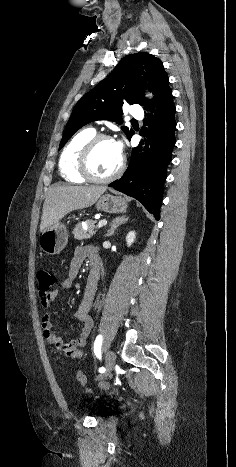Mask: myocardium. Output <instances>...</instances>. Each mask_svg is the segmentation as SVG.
<instances>
[{"label":"myocardium","instance_id":"1","mask_svg":"<svg viewBox=\"0 0 236 467\" xmlns=\"http://www.w3.org/2000/svg\"><path fill=\"white\" fill-rule=\"evenodd\" d=\"M101 141H112L113 138L106 134H96L90 140H88L81 148L78 156V171L88 181L95 183H107L116 179L123 172L125 167V160L121 156L120 163L117 169L106 177H99L94 174L91 169V157L92 154Z\"/></svg>","mask_w":236,"mask_h":467}]
</instances>
